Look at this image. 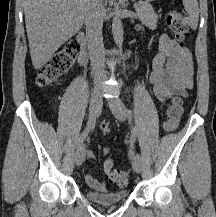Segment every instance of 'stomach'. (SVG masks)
<instances>
[{
	"label": "stomach",
	"instance_id": "1",
	"mask_svg": "<svg viewBox=\"0 0 216 217\" xmlns=\"http://www.w3.org/2000/svg\"><path fill=\"white\" fill-rule=\"evenodd\" d=\"M153 1H155V0H146V2H153Z\"/></svg>",
	"mask_w": 216,
	"mask_h": 217
}]
</instances>
